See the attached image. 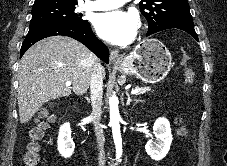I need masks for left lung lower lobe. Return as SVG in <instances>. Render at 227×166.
I'll return each instance as SVG.
<instances>
[{
    "label": "left lung lower lobe",
    "instance_id": "obj_1",
    "mask_svg": "<svg viewBox=\"0 0 227 166\" xmlns=\"http://www.w3.org/2000/svg\"><path fill=\"white\" fill-rule=\"evenodd\" d=\"M168 29H180V30H183V31L189 33L191 36H193L195 40L199 41L198 37H197V34H196L195 30H194V24L193 23L177 25V26L170 27Z\"/></svg>",
    "mask_w": 227,
    "mask_h": 166
}]
</instances>
